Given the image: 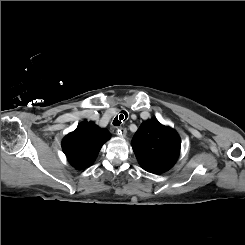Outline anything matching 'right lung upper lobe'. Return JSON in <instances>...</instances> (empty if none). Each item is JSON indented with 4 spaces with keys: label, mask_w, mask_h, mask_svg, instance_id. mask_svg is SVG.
Returning a JSON list of instances; mask_svg holds the SVG:
<instances>
[{
    "label": "right lung upper lobe",
    "mask_w": 245,
    "mask_h": 245,
    "mask_svg": "<svg viewBox=\"0 0 245 245\" xmlns=\"http://www.w3.org/2000/svg\"><path fill=\"white\" fill-rule=\"evenodd\" d=\"M109 138L110 133L106 129L99 128L93 122H81L63 139L62 149L75 168L84 169L95 161Z\"/></svg>",
    "instance_id": "cb5924a9"
}]
</instances>
